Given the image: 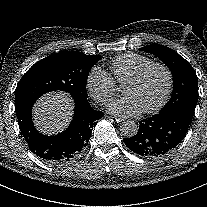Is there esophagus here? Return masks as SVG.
Returning a JSON list of instances; mask_svg holds the SVG:
<instances>
[{
	"mask_svg": "<svg viewBox=\"0 0 207 207\" xmlns=\"http://www.w3.org/2000/svg\"><path fill=\"white\" fill-rule=\"evenodd\" d=\"M108 118L113 122V124L118 125L121 122L120 117L109 115Z\"/></svg>",
	"mask_w": 207,
	"mask_h": 207,
	"instance_id": "esophagus-1",
	"label": "esophagus"
}]
</instances>
